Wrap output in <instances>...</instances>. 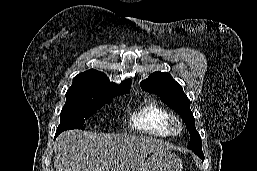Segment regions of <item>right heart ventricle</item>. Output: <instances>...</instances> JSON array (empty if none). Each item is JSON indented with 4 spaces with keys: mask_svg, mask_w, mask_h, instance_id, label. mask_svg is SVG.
I'll use <instances>...</instances> for the list:
<instances>
[{
    "mask_svg": "<svg viewBox=\"0 0 257 171\" xmlns=\"http://www.w3.org/2000/svg\"><path fill=\"white\" fill-rule=\"evenodd\" d=\"M169 115V111L159 102L148 99L132 112L129 125L150 135L167 137L170 135L167 129Z\"/></svg>",
    "mask_w": 257,
    "mask_h": 171,
    "instance_id": "e07e8e85",
    "label": "right heart ventricle"
}]
</instances>
